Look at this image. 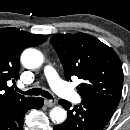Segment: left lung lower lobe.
<instances>
[{
  "instance_id": "0a47b994",
  "label": "left lung lower lobe",
  "mask_w": 130,
  "mask_h": 130,
  "mask_svg": "<svg viewBox=\"0 0 130 130\" xmlns=\"http://www.w3.org/2000/svg\"><path fill=\"white\" fill-rule=\"evenodd\" d=\"M59 104L68 111V117L62 124L55 125L54 130H102L114 113L88 100H82L80 105L74 107L66 100H59Z\"/></svg>"
}]
</instances>
